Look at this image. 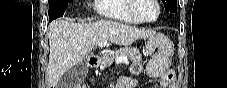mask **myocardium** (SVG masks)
<instances>
[{"instance_id": "1", "label": "myocardium", "mask_w": 227, "mask_h": 88, "mask_svg": "<svg viewBox=\"0 0 227 88\" xmlns=\"http://www.w3.org/2000/svg\"><path fill=\"white\" fill-rule=\"evenodd\" d=\"M153 3L155 4V6L158 9V13L157 16L154 19H142L141 17H139L138 13H137V3L138 0H130L129 2V12L130 14L136 19V21L138 23H144V24H151V23H155L156 21L159 20L160 16H161V7H160V3L158 0H152Z\"/></svg>"}]
</instances>
